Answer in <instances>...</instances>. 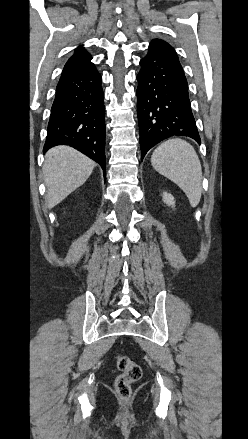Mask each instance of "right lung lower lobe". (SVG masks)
Segmentation results:
<instances>
[{"label":"right lung lower lobe","instance_id":"obj_1","mask_svg":"<svg viewBox=\"0 0 248 439\" xmlns=\"http://www.w3.org/2000/svg\"><path fill=\"white\" fill-rule=\"evenodd\" d=\"M102 78L92 64L62 78L51 108L44 152L69 145L100 164L106 177Z\"/></svg>","mask_w":248,"mask_h":439}]
</instances>
